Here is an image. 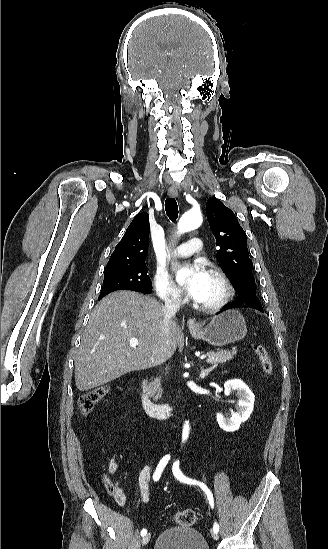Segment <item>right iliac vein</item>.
Listing matches in <instances>:
<instances>
[{"instance_id":"right-iliac-vein-1","label":"right iliac vein","mask_w":328,"mask_h":549,"mask_svg":"<svg viewBox=\"0 0 328 549\" xmlns=\"http://www.w3.org/2000/svg\"><path fill=\"white\" fill-rule=\"evenodd\" d=\"M151 539V533H147L146 535L143 536L141 542H142V545H146Z\"/></svg>"}]
</instances>
